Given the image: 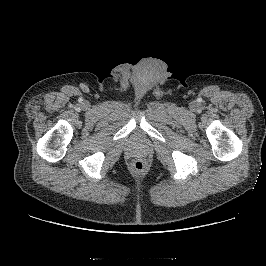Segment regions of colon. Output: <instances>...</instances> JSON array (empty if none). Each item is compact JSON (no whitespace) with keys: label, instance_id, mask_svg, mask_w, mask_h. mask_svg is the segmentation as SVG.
Listing matches in <instances>:
<instances>
[{"label":"colon","instance_id":"5ec220e1","mask_svg":"<svg viewBox=\"0 0 266 266\" xmlns=\"http://www.w3.org/2000/svg\"><path fill=\"white\" fill-rule=\"evenodd\" d=\"M145 163L141 160H136L132 164V168L137 173H142L145 170Z\"/></svg>","mask_w":266,"mask_h":266}]
</instances>
